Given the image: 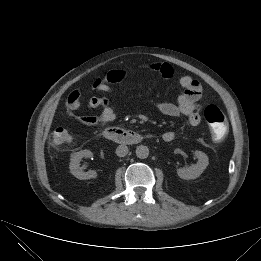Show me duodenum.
Returning a JSON list of instances; mask_svg holds the SVG:
<instances>
[{
  "mask_svg": "<svg viewBox=\"0 0 261 261\" xmlns=\"http://www.w3.org/2000/svg\"><path fill=\"white\" fill-rule=\"evenodd\" d=\"M103 135L106 139L120 144H137L143 139L139 133L119 127H108L104 130Z\"/></svg>",
  "mask_w": 261,
  "mask_h": 261,
  "instance_id": "1",
  "label": "duodenum"
}]
</instances>
